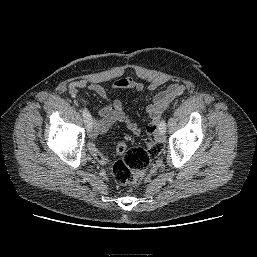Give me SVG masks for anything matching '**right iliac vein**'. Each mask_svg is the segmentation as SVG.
Listing matches in <instances>:
<instances>
[{"mask_svg": "<svg viewBox=\"0 0 257 257\" xmlns=\"http://www.w3.org/2000/svg\"><path fill=\"white\" fill-rule=\"evenodd\" d=\"M88 135H89L90 138H95L96 137V134H95V132L92 128L89 129Z\"/></svg>", "mask_w": 257, "mask_h": 257, "instance_id": "right-iliac-vein-1", "label": "right iliac vein"}]
</instances>
